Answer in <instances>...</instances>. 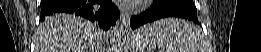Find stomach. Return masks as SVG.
Returning <instances> with one entry per match:
<instances>
[{"mask_svg":"<svg viewBox=\"0 0 261 52\" xmlns=\"http://www.w3.org/2000/svg\"><path fill=\"white\" fill-rule=\"evenodd\" d=\"M130 45L138 52H150L156 47L157 40L149 34L147 28H141L131 34Z\"/></svg>","mask_w":261,"mask_h":52,"instance_id":"obj_1","label":"stomach"}]
</instances>
